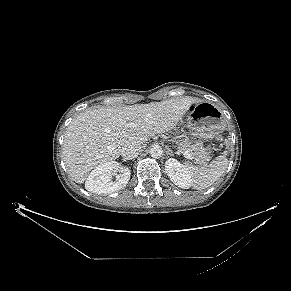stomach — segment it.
I'll use <instances>...</instances> for the list:
<instances>
[{"label":"stomach","instance_id":"0dacf381","mask_svg":"<svg viewBox=\"0 0 291 291\" xmlns=\"http://www.w3.org/2000/svg\"><path fill=\"white\" fill-rule=\"evenodd\" d=\"M186 120L192 136L200 142L214 138L224 129L221 111L210 102L196 104Z\"/></svg>","mask_w":291,"mask_h":291}]
</instances>
